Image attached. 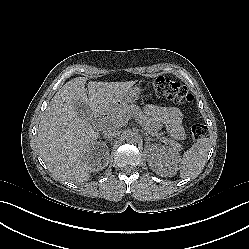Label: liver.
<instances>
[{
    "label": "liver",
    "mask_w": 249,
    "mask_h": 249,
    "mask_svg": "<svg viewBox=\"0 0 249 249\" xmlns=\"http://www.w3.org/2000/svg\"><path fill=\"white\" fill-rule=\"evenodd\" d=\"M85 83L86 80L74 79L63 86L51 101L38 131L43 160L82 179L89 176L92 151L99 136L87 114L111 112L131 87L127 83L91 81L85 88Z\"/></svg>",
    "instance_id": "liver-1"
}]
</instances>
